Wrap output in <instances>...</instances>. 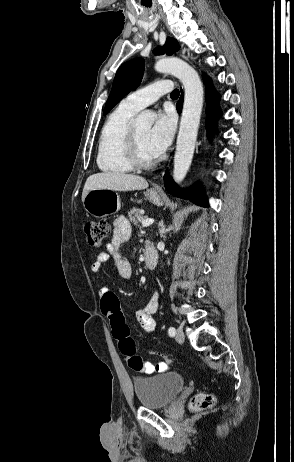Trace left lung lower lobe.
I'll use <instances>...</instances> for the list:
<instances>
[{
    "label": "left lung lower lobe",
    "mask_w": 294,
    "mask_h": 462,
    "mask_svg": "<svg viewBox=\"0 0 294 462\" xmlns=\"http://www.w3.org/2000/svg\"><path fill=\"white\" fill-rule=\"evenodd\" d=\"M203 79L206 84V101H207L206 127L209 130H212L216 125V121L218 117L221 115V111H220L219 104H218L220 96L215 91L208 77L203 75ZM182 102H183V97L181 96L179 102L177 103V109L179 112H181ZM164 181H165L166 190L169 193L173 194L174 196L188 198L190 201L200 206H204V207L209 206L207 200L204 197V193L198 184L189 190L180 191L177 185L173 182V180L167 173L164 176Z\"/></svg>",
    "instance_id": "1"
}]
</instances>
